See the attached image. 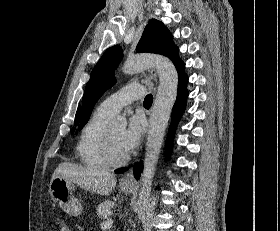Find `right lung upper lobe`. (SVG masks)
Returning a JSON list of instances; mask_svg holds the SVG:
<instances>
[{"mask_svg": "<svg viewBox=\"0 0 280 231\" xmlns=\"http://www.w3.org/2000/svg\"><path fill=\"white\" fill-rule=\"evenodd\" d=\"M79 118H80V106L78 107V110H77V113H76V116H75V122H74L75 125L78 124ZM73 129H74V128H73ZM73 129H72V130H73Z\"/></svg>", "mask_w": 280, "mask_h": 231, "instance_id": "1", "label": "right lung upper lobe"}]
</instances>
